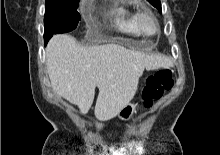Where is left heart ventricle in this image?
Returning <instances> with one entry per match:
<instances>
[{"label": "left heart ventricle", "mask_w": 220, "mask_h": 155, "mask_svg": "<svg viewBox=\"0 0 220 155\" xmlns=\"http://www.w3.org/2000/svg\"><path fill=\"white\" fill-rule=\"evenodd\" d=\"M142 26L145 32L152 34L155 31V24L149 17H146L143 22Z\"/></svg>", "instance_id": "left-heart-ventricle-1"}]
</instances>
